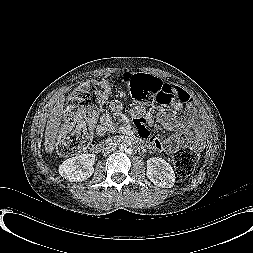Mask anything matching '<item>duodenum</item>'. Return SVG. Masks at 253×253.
<instances>
[{"mask_svg":"<svg viewBox=\"0 0 253 253\" xmlns=\"http://www.w3.org/2000/svg\"><path fill=\"white\" fill-rule=\"evenodd\" d=\"M126 143L127 145H130V146H134L135 145V142L134 141H131L130 139H128L126 136H122V137H118L116 139H114L113 141L111 142H106V143H102V145H96L94 147V151L97 152L99 151L102 147H107V146H117L119 145L120 143Z\"/></svg>","mask_w":253,"mask_h":253,"instance_id":"1","label":"duodenum"}]
</instances>
